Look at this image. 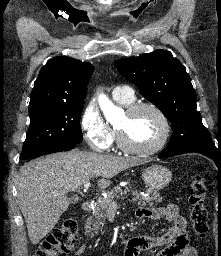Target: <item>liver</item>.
<instances>
[{"label":"liver","mask_w":221,"mask_h":256,"mask_svg":"<svg viewBox=\"0 0 221 256\" xmlns=\"http://www.w3.org/2000/svg\"><path fill=\"white\" fill-rule=\"evenodd\" d=\"M146 160L116 157L79 150L55 153L23 165L16 181L17 197L30 241L36 245L56 225L67 210L69 192L94 176H102L98 186L105 189L110 179Z\"/></svg>","instance_id":"1"}]
</instances>
